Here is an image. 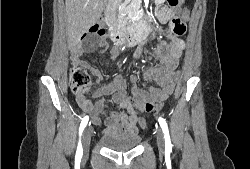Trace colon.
Instances as JSON below:
<instances>
[{"mask_svg": "<svg viewBox=\"0 0 250 169\" xmlns=\"http://www.w3.org/2000/svg\"><path fill=\"white\" fill-rule=\"evenodd\" d=\"M169 8H179L181 6L180 0H169ZM173 29L176 33H182L184 31V23L180 20H175ZM106 34V29L103 25L93 24L88 31L87 44H94L98 38L103 37ZM69 85L72 92L76 96H85L90 87V76L87 72L81 68L78 64H73L68 75ZM158 95H168V93H158ZM149 103H134V108H163L166 97H151ZM137 113L136 111L134 112ZM144 114H153V109H144ZM138 124H141L142 129L146 128L145 119L138 117Z\"/></svg>", "mask_w": 250, "mask_h": 169, "instance_id": "colon-1", "label": "colon"}]
</instances>
